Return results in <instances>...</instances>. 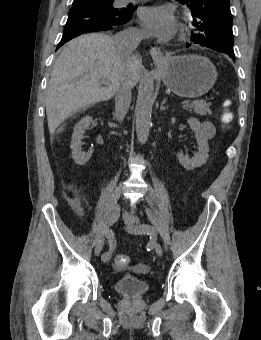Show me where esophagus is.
I'll return each instance as SVG.
<instances>
[{"mask_svg":"<svg viewBox=\"0 0 261 340\" xmlns=\"http://www.w3.org/2000/svg\"><path fill=\"white\" fill-rule=\"evenodd\" d=\"M149 52L155 62H161L165 59L164 54L159 47H151Z\"/></svg>","mask_w":261,"mask_h":340,"instance_id":"obj_1","label":"esophagus"}]
</instances>
